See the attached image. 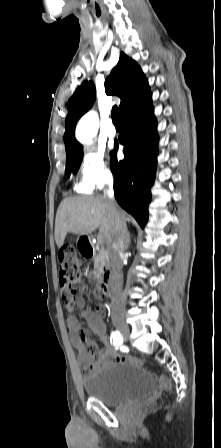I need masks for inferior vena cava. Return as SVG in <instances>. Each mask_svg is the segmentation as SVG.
<instances>
[{
  "mask_svg": "<svg viewBox=\"0 0 221 448\" xmlns=\"http://www.w3.org/2000/svg\"><path fill=\"white\" fill-rule=\"evenodd\" d=\"M104 197H106L110 209L115 215V225L113 229V236L110 242V262L112 273L114 276V286L112 298V312L114 314L121 313V289L123 283L122 273V258L127 248V229L126 221L123 217L122 211L119 209L114 198L113 181L108 182V187L104 190Z\"/></svg>",
  "mask_w": 221,
  "mask_h": 448,
  "instance_id": "1",
  "label": "inferior vena cava"
}]
</instances>
